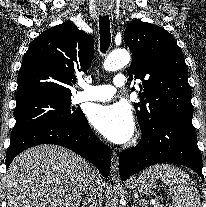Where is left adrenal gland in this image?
I'll list each match as a JSON object with an SVG mask.
<instances>
[{
    "instance_id": "left-adrenal-gland-1",
    "label": "left adrenal gland",
    "mask_w": 206,
    "mask_h": 207,
    "mask_svg": "<svg viewBox=\"0 0 206 207\" xmlns=\"http://www.w3.org/2000/svg\"><path fill=\"white\" fill-rule=\"evenodd\" d=\"M134 203H135V207H138V204H137V202L134 200Z\"/></svg>"
}]
</instances>
